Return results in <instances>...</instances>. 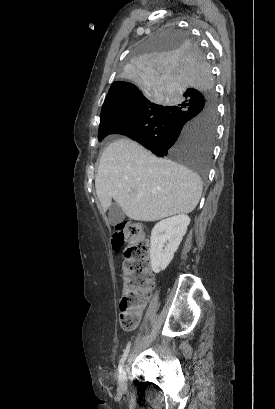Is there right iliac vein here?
Instances as JSON below:
<instances>
[{
  "instance_id": "obj_1",
  "label": "right iliac vein",
  "mask_w": 275,
  "mask_h": 409,
  "mask_svg": "<svg viewBox=\"0 0 275 409\" xmlns=\"http://www.w3.org/2000/svg\"><path fill=\"white\" fill-rule=\"evenodd\" d=\"M119 385L121 388H124L127 386V379H126V375L124 372L119 376Z\"/></svg>"
}]
</instances>
